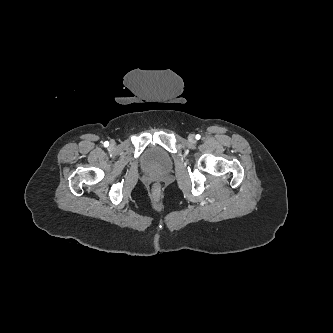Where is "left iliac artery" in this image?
I'll list each match as a JSON object with an SVG mask.
<instances>
[{
    "instance_id": "1",
    "label": "left iliac artery",
    "mask_w": 333,
    "mask_h": 333,
    "mask_svg": "<svg viewBox=\"0 0 333 333\" xmlns=\"http://www.w3.org/2000/svg\"><path fill=\"white\" fill-rule=\"evenodd\" d=\"M196 139H200V135L199 134L196 135Z\"/></svg>"
}]
</instances>
